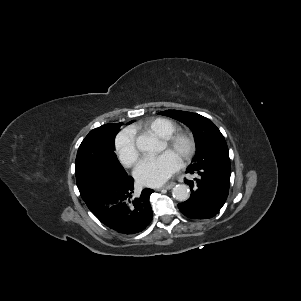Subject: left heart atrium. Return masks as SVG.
<instances>
[{
  "instance_id": "left-heart-atrium-1",
  "label": "left heart atrium",
  "mask_w": 301,
  "mask_h": 301,
  "mask_svg": "<svg viewBox=\"0 0 301 301\" xmlns=\"http://www.w3.org/2000/svg\"><path fill=\"white\" fill-rule=\"evenodd\" d=\"M181 167L180 158L166 151L155 158L140 162L134 175L138 182L147 186H159L166 182Z\"/></svg>"
}]
</instances>
